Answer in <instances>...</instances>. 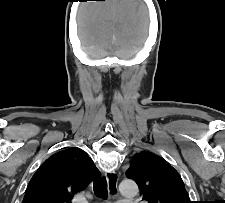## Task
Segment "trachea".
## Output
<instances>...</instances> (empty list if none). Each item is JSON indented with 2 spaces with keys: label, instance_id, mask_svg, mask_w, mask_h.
<instances>
[{
  "label": "trachea",
  "instance_id": "obj_1",
  "mask_svg": "<svg viewBox=\"0 0 225 203\" xmlns=\"http://www.w3.org/2000/svg\"><path fill=\"white\" fill-rule=\"evenodd\" d=\"M93 190L97 197L106 199L108 196L106 179L104 177L96 179L93 183Z\"/></svg>",
  "mask_w": 225,
  "mask_h": 203
}]
</instances>
